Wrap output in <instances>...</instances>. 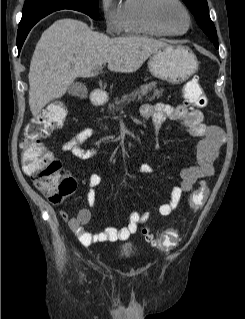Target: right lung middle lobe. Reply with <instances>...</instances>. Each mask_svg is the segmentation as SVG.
Wrapping results in <instances>:
<instances>
[{
  "instance_id": "1",
  "label": "right lung middle lobe",
  "mask_w": 245,
  "mask_h": 319,
  "mask_svg": "<svg viewBox=\"0 0 245 319\" xmlns=\"http://www.w3.org/2000/svg\"><path fill=\"white\" fill-rule=\"evenodd\" d=\"M60 9H73L98 18V0H26L19 28L28 26V23L38 13H47ZM42 19V18H41Z\"/></svg>"
}]
</instances>
